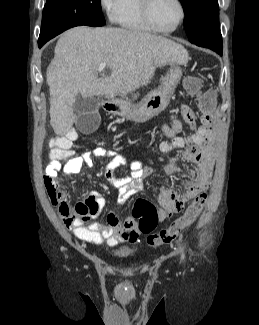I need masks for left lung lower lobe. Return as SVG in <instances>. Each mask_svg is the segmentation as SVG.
<instances>
[{"mask_svg":"<svg viewBox=\"0 0 259 325\" xmlns=\"http://www.w3.org/2000/svg\"><path fill=\"white\" fill-rule=\"evenodd\" d=\"M204 47L210 48L213 51L217 52L219 55H222V37L215 42L203 44Z\"/></svg>","mask_w":259,"mask_h":325,"instance_id":"obj_1","label":"left lung lower lobe"}]
</instances>
